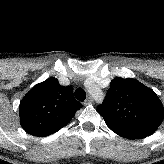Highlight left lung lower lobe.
Instances as JSON below:
<instances>
[{
  "mask_svg": "<svg viewBox=\"0 0 164 164\" xmlns=\"http://www.w3.org/2000/svg\"><path fill=\"white\" fill-rule=\"evenodd\" d=\"M107 124V123H106ZM107 126L113 131L115 132L116 134H118L119 136H122L124 138H127V139H142V138H145L147 137L146 135H143V134H140V133H137V132H134V131H129V130H124V129H117V128H113L111 127L110 125L107 124Z\"/></svg>",
  "mask_w": 164,
  "mask_h": 164,
  "instance_id": "0a47b994",
  "label": "left lung lower lobe"
}]
</instances>
